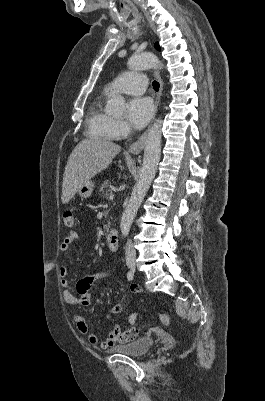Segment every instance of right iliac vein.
I'll return each mask as SVG.
<instances>
[{
  "instance_id": "obj_1",
  "label": "right iliac vein",
  "mask_w": 265,
  "mask_h": 401,
  "mask_svg": "<svg viewBox=\"0 0 265 401\" xmlns=\"http://www.w3.org/2000/svg\"><path fill=\"white\" fill-rule=\"evenodd\" d=\"M128 267H129L131 270H135L136 264H135V263H129V264H128Z\"/></svg>"
}]
</instances>
